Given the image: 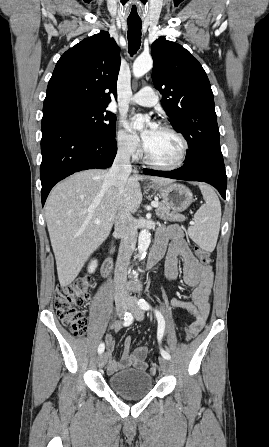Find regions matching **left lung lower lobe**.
<instances>
[{
	"label": "left lung lower lobe",
	"mask_w": 269,
	"mask_h": 447,
	"mask_svg": "<svg viewBox=\"0 0 269 447\" xmlns=\"http://www.w3.org/2000/svg\"><path fill=\"white\" fill-rule=\"evenodd\" d=\"M143 172L153 176L206 182L214 186L224 199L226 198L227 177L222 155L205 156L173 171L144 169Z\"/></svg>",
	"instance_id": "left-lung-lower-lobe-1"
}]
</instances>
